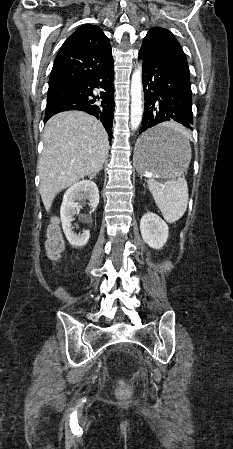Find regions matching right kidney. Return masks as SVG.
<instances>
[{
    "label": "right kidney",
    "instance_id": "1",
    "mask_svg": "<svg viewBox=\"0 0 233 449\" xmlns=\"http://www.w3.org/2000/svg\"><path fill=\"white\" fill-rule=\"evenodd\" d=\"M87 198L94 210L99 204V191L97 185L91 180H82L71 186L63 197L60 209L62 228L68 242L74 247L86 245L90 237V231L85 230L82 234L73 231V216L78 209L77 200Z\"/></svg>",
    "mask_w": 233,
    "mask_h": 449
}]
</instances>
